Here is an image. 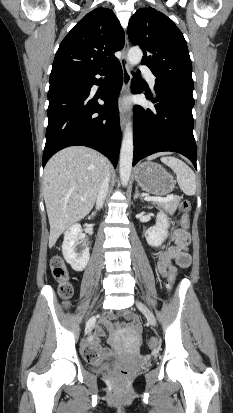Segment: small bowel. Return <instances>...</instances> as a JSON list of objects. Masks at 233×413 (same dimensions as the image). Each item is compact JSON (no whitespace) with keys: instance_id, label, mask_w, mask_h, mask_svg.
<instances>
[{"instance_id":"c3829d8e","label":"small bowel","mask_w":233,"mask_h":413,"mask_svg":"<svg viewBox=\"0 0 233 413\" xmlns=\"http://www.w3.org/2000/svg\"><path fill=\"white\" fill-rule=\"evenodd\" d=\"M170 240L172 242L169 246H163L156 251V270L164 278H169L170 273L176 274L177 268L173 266V260L176 261L177 265L181 268H186L190 265L191 258L188 253L189 245V235L184 232L182 229H175L171 236ZM124 318L127 320L125 324H118V328L125 327L131 333L129 353H136L138 346L140 344L138 334L141 330V325L139 319L130 311H125L123 313ZM113 319V314H108L103 317L98 326L95 329V332L90 335L87 339L85 355L95 354L100 356V354L111 355L110 352L104 350L100 346V337L104 335L105 328H112L113 324L111 320Z\"/></svg>"}]
</instances>
